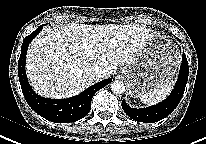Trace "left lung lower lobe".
<instances>
[{
  "label": "left lung lower lobe",
  "mask_w": 206,
  "mask_h": 144,
  "mask_svg": "<svg viewBox=\"0 0 206 144\" xmlns=\"http://www.w3.org/2000/svg\"><path fill=\"white\" fill-rule=\"evenodd\" d=\"M188 62L186 59V55L183 54L182 57V64L178 76L177 83L175 85L174 90L172 93L168 96L167 99L164 101L147 108L143 109H135L130 108L125 102V100L122 101V108L124 112L133 120L137 122H144V123H153L157 122L165 117H167L178 105L180 102L186 83L188 80Z\"/></svg>",
  "instance_id": "1"
}]
</instances>
